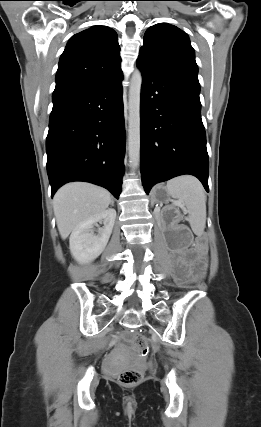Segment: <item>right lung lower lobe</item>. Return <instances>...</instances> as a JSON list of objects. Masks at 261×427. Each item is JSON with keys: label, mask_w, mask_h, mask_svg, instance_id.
<instances>
[{"label": "right lung lower lobe", "mask_w": 261, "mask_h": 427, "mask_svg": "<svg viewBox=\"0 0 261 427\" xmlns=\"http://www.w3.org/2000/svg\"><path fill=\"white\" fill-rule=\"evenodd\" d=\"M123 75L53 101L46 139L51 196L87 181L119 198L124 172Z\"/></svg>", "instance_id": "obj_1"}]
</instances>
